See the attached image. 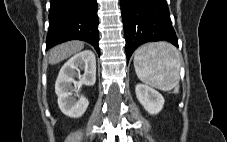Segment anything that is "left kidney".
<instances>
[{
    "instance_id": "5707ae66",
    "label": "left kidney",
    "mask_w": 227,
    "mask_h": 142,
    "mask_svg": "<svg viewBox=\"0 0 227 142\" xmlns=\"http://www.w3.org/2000/svg\"><path fill=\"white\" fill-rule=\"evenodd\" d=\"M135 92L140 104L148 113L154 115L162 110L164 98L154 88L145 84H137Z\"/></svg>"
}]
</instances>
